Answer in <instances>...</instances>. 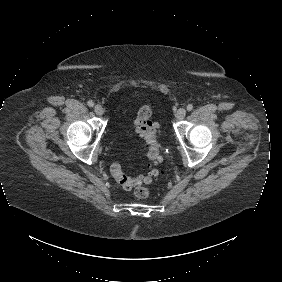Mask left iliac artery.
Listing matches in <instances>:
<instances>
[{"instance_id":"obj_1","label":"left iliac artery","mask_w":282,"mask_h":282,"mask_svg":"<svg viewBox=\"0 0 282 282\" xmlns=\"http://www.w3.org/2000/svg\"><path fill=\"white\" fill-rule=\"evenodd\" d=\"M193 109V105L192 104H189L188 106H187V110L188 111H191Z\"/></svg>"}]
</instances>
